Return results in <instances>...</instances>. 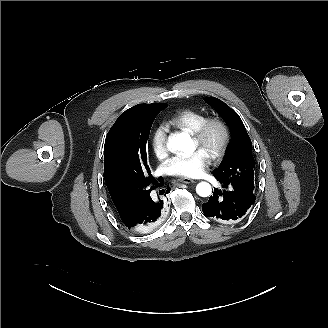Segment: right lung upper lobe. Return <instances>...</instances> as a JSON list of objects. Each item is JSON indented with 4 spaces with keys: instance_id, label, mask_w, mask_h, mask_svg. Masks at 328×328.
I'll list each match as a JSON object with an SVG mask.
<instances>
[{
    "instance_id": "right-lung-upper-lobe-1",
    "label": "right lung upper lobe",
    "mask_w": 328,
    "mask_h": 328,
    "mask_svg": "<svg viewBox=\"0 0 328 328\" xmlns=\"http://www.w3.org/2000/svg\"><path fill=\"white\" fill-rule=\"evenodd\" d=\"M140 105V104H138ZM108 188V187H107ZM113 203L115 204L121 220H127L138 205V201H131L119 196L111 188H108Z\"/></svg>"
}]
</instances>
